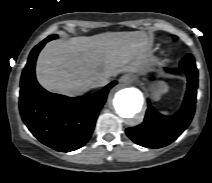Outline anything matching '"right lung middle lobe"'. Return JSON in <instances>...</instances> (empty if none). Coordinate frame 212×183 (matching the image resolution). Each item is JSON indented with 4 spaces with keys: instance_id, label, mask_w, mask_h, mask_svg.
I'll return each instance as SVG.
<instances>
[{
    "instance_id": "obj_1",
    "label": "right lung middle lobe",
    "mask_w": 212,
    "mask_h": 183,
    "mask_svg": "<svg viewBox=\"0 0 212 183\" xmlns=\"http://www.w3.org/2000/svg\"><path fill=\"white\" fill-rule=\"evenodd\" d=\"M49 37H51V39H55V38H57V35H51Z\"/></svg>"
}]
</instances>
